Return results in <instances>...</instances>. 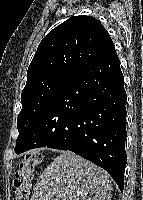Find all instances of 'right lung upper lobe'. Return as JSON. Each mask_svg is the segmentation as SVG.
Segmentation results:
<instances>
[{"label":"right lung upper lobe","instance_id":"cb5924a9","mask_svg":"<svg viewBox=\"0 0 143 200\" xmlns=\"http://www.w3.org/2000/svg\"><path fill=\"white\" fill-rule=\"evenodd\" d=\"M115 51L103 25L91 16H74L40 42L27 71L26 84L51 74L72 75Z\"/></svg>","mask_w":143,"mask_h":200}]
</instances>
